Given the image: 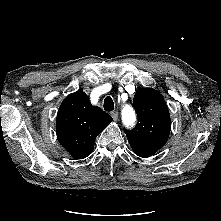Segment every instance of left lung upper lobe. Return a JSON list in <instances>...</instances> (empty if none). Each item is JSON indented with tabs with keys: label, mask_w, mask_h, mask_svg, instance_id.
Here are the masks:
<instances>
[{
	"label": "left lung upper lobe",
	"mask_w": 221,
	"mask_h": 221,
	"mask_svg": "<svg viewBox=\"0 0 221 221\" xmlns=\"http://www.w3.org/2000/svg\"><path fill=\"white\" fill-rule=\"evenodd\" d=\"M138 123L124 130L135 154L150 157L167 141L171 129L168 107L159 92L151 88L139 89L133 99Z\"/></svg>",
	"instance_id": "obj_1"
}]
</instances>
